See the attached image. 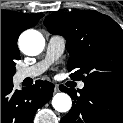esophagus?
<instances>
[{
    "label": "esophagus",
    "instance_id": "34e87169",
    "mask_svg": "<svg viewBox=\"0 0 123 123\" xmlns=\"http://www.w3.org/2000/svg\"><path fill=\"white\" fill-rule=\"evenodd\" d=\"M57 92H59V86L58 85H55V87H54V93H57Z\"/></svg>",
    "mask_w": 123,
    "mask_h": 123
}]
</instances>
